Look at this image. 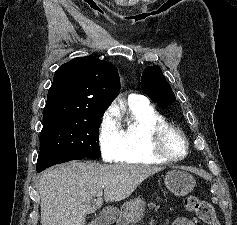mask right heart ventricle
I'll list each match as a JSON object with an SVG mask.
<instances>
[{"label":"right heart ventricle","instance_id":"e07e8e85","mask_svg":"<svg viewBox=\"0 0 237 225\" xmlns=\"http://www.w3.org/2000/svg\"><path fill=\"white\" fill-rule=\"evenodd\" d=\"M130 122L121 129L122 152L118 162L126 164H160L166 161L158 158L150 145V131L165 118L146 99L129 104Z\"/></svg>","mask_w":237,"mask_h":225}]
</instances>
